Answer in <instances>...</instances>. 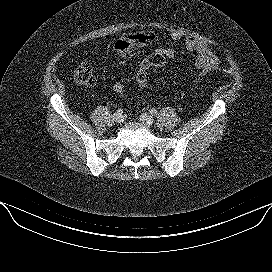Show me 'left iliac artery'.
<instances>
[{"mask_svg": "<svg viewBox=\"0 0 272 272\" xmlns=\"http://www.w3.org/2000/svg\"><path fill=\"white\" fill-rule=\"evenodd\" d=\"M150 113L152 114V115H157V110L156 109H154V108H152V109H150Z\"/></svg>", "mask_w": 272, "mask_h": 272, "instance_id": "obj_1", "label": "left iliac artery"}]
</instances>
